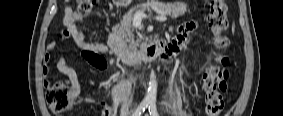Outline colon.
Wrapping results in <instances>:
<instances>
[{
	"label": "colon",
	"instance_id": "5ec220e1",
	"mask_svg": "<svg viewBox=\"0 0 283 116\" xmlns=\"http://www.w3.org/2000/svg\"><path fill=\"white\" fill-rule=\"evenodd\" d=\"M96 1L79 0L78 12L90 13ZM208 24L214 36V45L217 49L214 62L209 64L203 73V90L205 92L206 113L218 116L222 112L225 102L222 93L227 88L229 73L227 70L230 59L226 55L229 47V38L224 34L228 27L227 5L224 0H212L208 15ZM46 101L50 110L55 114L69 111L75 101L72 89L64 82L49 83Z\"/></svg>",
	"mask_w": 283,
	"mask_h": 116
}]
</instances>
